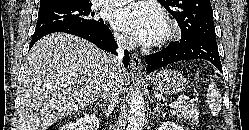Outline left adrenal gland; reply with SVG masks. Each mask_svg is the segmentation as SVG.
<instances>
[{
  "instance_id": "left-adrenal-gland-1",
  "label": "left adrenal gland",
  "mask_w": 249,
  "mask_h": 130,
  "mask_svg": "<svg viewBox=\"0 0 249 130\" xmlns=\"http://www.w3.org/2000/svg\"><path fill=\"white\" fill-rule=\"evenodd\" d=\"M156 112H157L158 114H160V113H161V110H160V109H159V107H158V103H156L155 108L153 109L152 114H153V115H155V114H156Z\"/></svg>"
}]
</instances>
